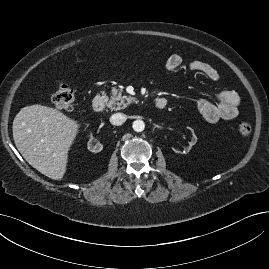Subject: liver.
<instances>
[{
  "instance_id": "1",
  "label": "liver",
  "mask_w": 269,
  "mask_h": 269,
  "mask_svg": "<svg viewBox=\"0 0 269 269\" xmlns=\"http://www.w3.org/2000/svg\"><path fill=\"white\" fill-rule=\"evenodd\" d=\"M80 124L56 108L44 105L23 107L13 121V139L23 158L45 176L61 180L68 152Z\"/></svg>"
}]
</instances>
